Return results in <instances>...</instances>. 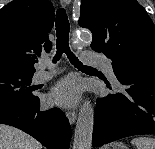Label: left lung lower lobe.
Masks as SVG:
<instances>
[{
	"label": "left lung lower lobe",
	"mask_w": 155,
	"mask_h": 149,
	"mask_svg": "<svg viewBox=\"0 0 155 149\" xmlns=\"http://www.w3.org/2000/svg\"><path fill=\"white\" fill-rule=\"evenodd\" d=\"M112 66L126 89L97 99L93 147L132 135L155 134V63L129 61Z\"/></svg>",
	"instance_id": "left-lung-lower-lobe-1"
}]
</instances>
